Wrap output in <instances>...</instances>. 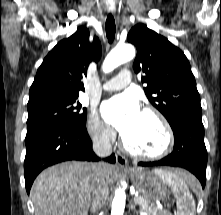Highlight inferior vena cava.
<instances>
[{
  "mask_svg": "<svg viewBox=\"0 0 221 215\" xmlns=\"http://www.w3.org/2000/svg\"><path fill=\"white\" fill-rule=\"evenodd\" d=\"M93 150L101 158L111 155L112 147L107 131L102 130L100 135L94 138ZM105 166L104 162H98L93 166L96 181L91 200V210L93 213H96L103 207L109 195V187L105 180Z\"/></svg>",
  "mask_w": 221,
  "mask_h": 215,
  "instance_id": "inferior-vena-cava-1",
  "label": "inferior vena cava"
}]
</instances>
